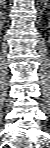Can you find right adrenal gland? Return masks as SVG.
<instances>
[{
  "label": "right adrenal gland",
  "instance_id": "2a0ac1e0",
  "mask_svg": "<svg viewBox=\"0 0 50 148\" xmlns=\"http://www.w3.org/2000/svg\"><path fill=\"white\" fill-rule=\"evenodd\" d=\"M1 5H3L4 8H6L5 1L4 0L1 2Z\"/></svg>",
  "mask_w": 50,
  "mask_h": 148
}]
</instances>
